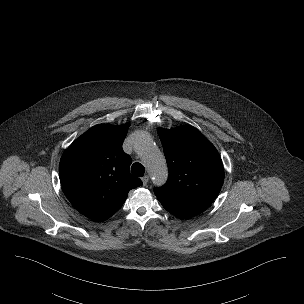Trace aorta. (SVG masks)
<instances>
[{"mask_svg":"<svg viewBox=\"0 0 304 304\" xmlns=\"http://www.w3.org/2000/svg\"><path fill=\"white\" fill-rule=\"evenodd\" d=\"M135 149L145 158V165L155 185L163 184L167 179V166L161 152L148 136L140 137Z\"/></svg>","mask_w":304,"mask_h":304,"instance_id":"762f6f07","label":"aorta"}]
</instances>
